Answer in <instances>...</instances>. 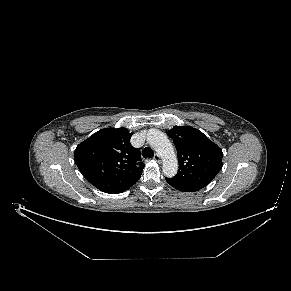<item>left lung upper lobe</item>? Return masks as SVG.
<instances>
[{"instance_id":"obj_1","label":"left lung upper lobe","mask_w":291,"mask_h":291,"mask_svg":"<svg viewBox=\"0 0 291 291\" xmlns=\"http://www.w3.org/2000/svg\"><path fill=\"white\" fill-rule=\"evenodd\" d=\"M167 134L174 140L179 162V171L172 179L209 184L222 168V150L190 126H174Z\"/></svg>"}]
</instances>
